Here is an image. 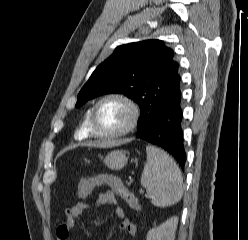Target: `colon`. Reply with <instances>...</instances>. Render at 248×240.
I'll return each mask as SVG.
<instances>
[{"label":"colon","mask_w":248,"mask_h":240,"mask_svg":"<svg viewBox=\"0 0 248 240\" xmlns=\"http://www.w3.org/2000/svg\"><path fill=\"white\" fill-rule=\"evenodd\" d=\"M103 183L109 185L113 192L123 199L131 208L135 210L140 209V204L135 195L128 190L120 179L107 173L97 174L82 179L78 185V196L80 198L87 197L93 187Z\"/></svg>","instance_id":"obj_1"}]
</instances>
